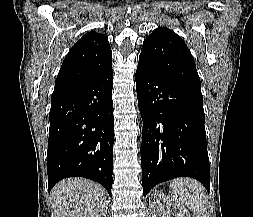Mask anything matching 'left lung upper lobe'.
<instances>
[{
	"label": "left lung upper lobe",
	"instance_id": "left-lung-upper-lobe-1",
	"mask_svg": "<svg viewBox=\"0 0 253 217\" xmlns=\"http://www.w3.org/2000/svg\"><path fill=\"white\" fill-rule=\"evenodd\" d=\"M139 59L163 76L201 91L193 56L172 30L155 29L144 40Z\"/></svg>",
	"mask_w": 253,
	"mask_h": 217
}]
</instances>
